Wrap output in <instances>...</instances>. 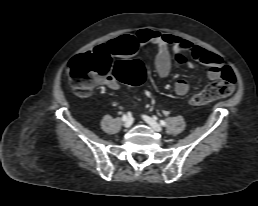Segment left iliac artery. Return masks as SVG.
Instances as JSON below:
<instances>
[{
    "instance_id": "left-iliac-artery-1",
    "label": "left iliac artery",
    "mask_w": 258,
    "mask_h": 206,
    "mask_svg": "<svg viewBox=\"0 0 258 206\" xmlns=\"http://www.w3.org/2000/svg\"><path fill=\"white\" fill-rule=\"evenodd\" d=\"M160 124H161L162 126H166V122H165L164 120H161V121H160Z\"/></svg>"
}]
</instances>
